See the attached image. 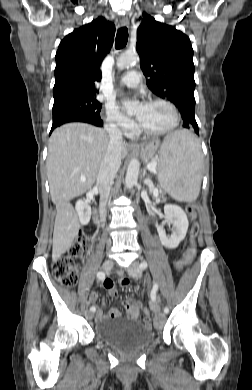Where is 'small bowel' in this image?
<instances>
[{
	"label": "small bowel",
	"instance_id": "obj_1",
	"mask_svg": "<svg viewBox=\"0 0 252 390\" xmlns=\"http://www.w3.org/2000/svg\"><path fill=\"white\" fill-rule=\"evenodd\" d=\"M122 282H127V284H128V280L125 278L120 280V285H122ZM104 287L106 289H108L109 295L111 297L114 298L117 296L118 291H117V289H115L114 283L111 280H105ZM98 298H99V294L94 292L90 295L89 301L91 303L95 304L97 302ZM123 305H124L125 311L128 313L129 318L132 321L140 322V308H141V306L137 302H133V301H126L123 303ZM145 310L146 309L144 308V311ZM120 316H121V312L116 308H112V309L108 310L106 313H104L100 308H97V311H96V320L97 321H100V320H103L106 318H118Z\"/></svg>",
	"mask_w": 252,
	"mask_h": 390
}]
</instances>
